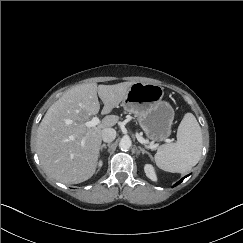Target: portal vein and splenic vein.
Wrapping results in <instances>:
<instances>
[{"label": "portal vein and splenic vein", "mask_w": 243, "mask_h": 243, "mask_svg": "<svg viewBox=\"0 0 243 243\" xmlns=\"http://www.w3.org/2000/svg\"><path fill=\"white\" fill-rule=\"evenodd\" d=\"M100 123V119L97 117V116H95V117H93L90 121H88V122H86L85 123V125L87 126V127H94V126H96V125H98ZM136 137H137V140L141 143V144H144L146 147H148V148H153L152 146H147L146 144H147V142H146V140L145 139H143L141 136H139L138 134L136 135Z\"/></svg>", "instance_id": "1"}]
</instances>
